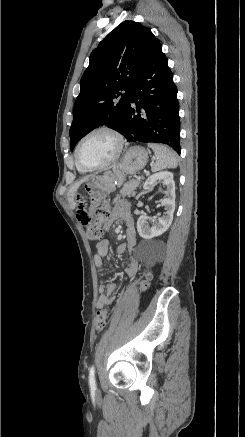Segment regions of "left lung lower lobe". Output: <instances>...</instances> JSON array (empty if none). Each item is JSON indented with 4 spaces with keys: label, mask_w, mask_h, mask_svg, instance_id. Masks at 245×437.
Instances as JSON below:
<instances>
[{
    "label": "left lung lower lobe",
    "mask_w": 245,
    "mask_h": 437,
    "mask_svg": "<svg viewBox=\"0 0 245 437\" xmlns=\"http://www.w3.org/2000/svg\"><path fill=\"white\" fill-rule=\"evenodd\" d=\"M123 135L128 142L162 143L181 152L177 88L161 44L153 49L130 91Z\"/></svg>",
    "instance_id": "left-lung-lower-lobe-1"
}]
</instances>
